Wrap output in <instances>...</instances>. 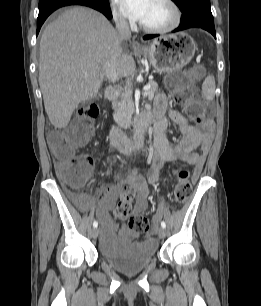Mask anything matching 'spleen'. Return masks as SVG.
<instances>
[{
    "instance_id": "spleen-1",
    "label": "spleen",
    "mask_w": 261,
    "mask_h": 306,
    "mask_svg": "<svg viewBox=\"0 0 261 306\" xmlns=\"http://www.w3.org/2000/svg\"><path fill=\"white\" fill-rule=\"evenodd\" d=\"M202 95L208 100H212L215 95V79L212 76H208L202 85Z\"/></svg>"
}]
</instances>
